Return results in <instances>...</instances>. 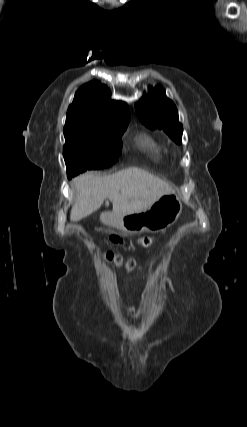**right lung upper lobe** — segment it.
Returning <instances> with one entry per match:
<instances>
[{"instance_id":"1","label":"right lung upper lobe","mask_w":247,"mask_h":427,"mask_svg":"<svg viewBox=\"0 0 247 427\" xmlns=\"http://www.w3.org/2000/svg\"><path fill=\"white\" fill-rule=\"evenodd\" d=\"M110 90L98 81L80 87L67 111L68 120H78L106 128L127 126L129 108L124 102L111 100Z\"/></svg>"}]
</instances>
